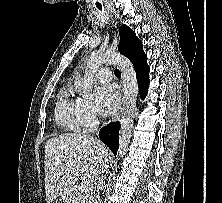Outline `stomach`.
<instances>
[{
  "instance_id": "obj_1",
  "label": "stomach",
  "mask_w": 222,
  "mask_h": 203,
  "mask_svg": "<svg viewBox=\"0 0 222 203\" xmlns=\"http://www.w3.org/2000/svg\"><path fill=\"white\" fill-rule=\"evenodd\" d=\"M64 200H65L66 203H70V197L64 196Z\"/></svg>"
}]
</instances>
